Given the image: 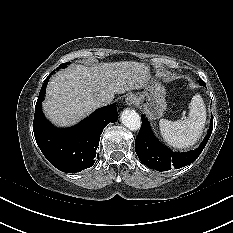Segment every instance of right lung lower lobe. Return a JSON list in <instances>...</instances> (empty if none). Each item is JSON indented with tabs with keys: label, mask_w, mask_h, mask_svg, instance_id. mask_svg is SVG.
I'll return each instance as SVG.
<instances>
[{
	"label": "right lung lower lobe",
	"mask_w": 233,
	"mask_h": 233,
	"mask_svg": "<svg viewBox=\"0 0 233 233\" xmlns=\"http://www.w3.org/2000/svg\"><path fill=\"white\" fill-rule=\"evenodd\" d=\"M50 75L42 85L35 106L34 136L43 155L54 167L65 173H76L94 164L104 127L118 120L116 103L97 109L71 128L57 129L44 118L41 109Z\"/></svg>",
	"instance_id": "98d812e1"
}]
</instances>
